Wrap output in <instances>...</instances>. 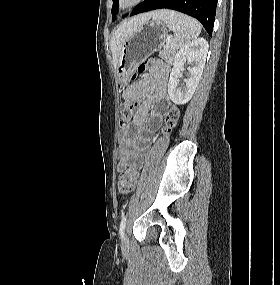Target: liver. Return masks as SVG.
I'll return each mask as SVG.
<instances>
[{
    "label": "liver",
    "mask_w": 280,
    "mask_h": 285,
    "mask_svg": "<svg viewBox=\"0 0 280 285\" xmlns=\"http://www.w3.org/2000/svg\"><path fill=\"white\" fill-rule=\"evenodd\" d=\"M156 12L157 11L135 16L122 23L116 29L110 42L113 64L115 67L117 66L123 43L138 29L139 26L148 22L151 18H154L156 16Z\"/></svg>",
    "instance_id": "6515ba94"
}]
</instances>
